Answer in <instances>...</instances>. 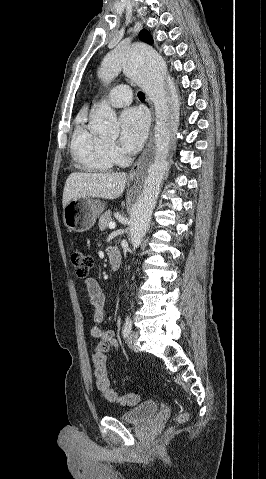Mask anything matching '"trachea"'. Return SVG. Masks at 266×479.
Listing matches in <instances>:
<instances>
[{"label":"trachea","mask_w":266,"mask_h":479,"mask_svg":"<svg viewBox=\"0 0 266 479\" xmlns=\"http://www.w3.org/2000/svg\"><path fill=\"white\" fill-rule=\"evenodd\" d=\"M138 98L139 99H145V94L143 92H138Z\"/></svg>","instance_id":"trachea-1"}]
</instances>
